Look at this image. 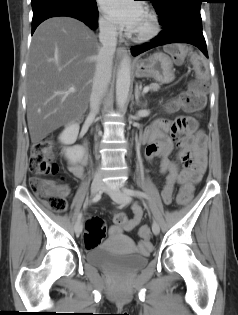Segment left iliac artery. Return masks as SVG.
Wrapping results in <instances>:
<instances>
[{
  "label": "left iliac artery",
  "mask_w": 238,
  "mask_h": 315,
  "mask_svg": "<svg viewBox=\"0 0 238 315\" xmlns=\"http://www.w3.org/2000/svg\"><path fill=\"white\" fill-rule=\"evenodd\" d=\"M126 194L130 195V196H134V197H143L145 199H148V195L142 191H139V190H135V189H132V188H124L123 190Z\"/></svg>",
  "instance_id": "44dca946"
}]
</instances>
